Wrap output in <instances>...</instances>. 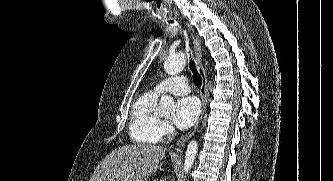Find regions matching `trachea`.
I'll use <instances>...</instances> for the list:
<instances>
[{
    "mask_svg": "<svg viewBox=\"0 0 333 181\" xmlns=\"http://www.w3.org/2000/svg\"><path fill=\"white\" fill-rule=\"evenodd\" d=\"M190 69L193 73V82L196 86L200 87L202 85V78L198 73L194 61L190 60L189 62Z\"/></svg>",
    "mask_w": 333,
    "mask_h": 181,
    "instance_id": "3493384b",
    "label": "trachea"
}]
</instances>
